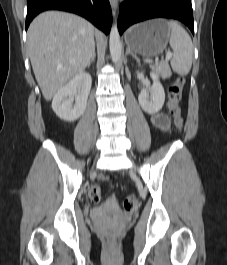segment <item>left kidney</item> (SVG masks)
I'll list each match as a JSON object with an SVG mask.
<instances>
[{
  "instance_id": "left-kidney-1",
  "label": "left kidney",
  "mask_w": 227,
  "mask_h": 265,
  "mask_svg": "<svg viewBox=\"0 0 227 265\" xmlns=\"http://www.w3.org/2000/svg\"><path fill=\"white\" fill-rule=\"evenodd\" d=\"M153 85L149 89H143L138 96L142 109L148 114H155L160 111L165 101V91L156 73H150Z\"/></svg>"
}]
</instances>
